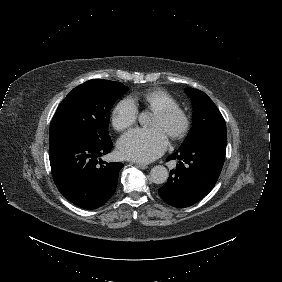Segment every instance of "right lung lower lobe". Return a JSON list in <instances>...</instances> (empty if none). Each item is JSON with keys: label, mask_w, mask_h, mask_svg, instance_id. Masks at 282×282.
Here are the masks:
<instances>
[{"label": "right lung lower lobe", "mask_w": 282, "mask_h": 282, "mask_svg": "<svg viewBox=\"0 0 282 282\" xmlns=\"http://www.w3.org/2000/svg\"><path fill=\"white\" fill-rule=\"evenodd\" d=\"M112 147L110 138L96 139L84 134H72L50 143L52 176L66 199L84 209H95L108 201L124 166L119 162L98 165V158Z\"/></svg>", "instance_id": "obj_1"}]
</instances>
